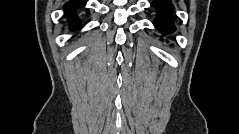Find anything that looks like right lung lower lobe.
Wrapping results in <instances>:
<instances>
[{"label":"right lung lower lobe","mask_w":239,"mask_h":134,"mask_svg":"<svg viewBox=\"0 0 239 134\" xmlns=\"http://www.w3.org/2000/svg\"><path fill=\"white\" fill-rule=\"evenodd\" d=\"M83 6H85V2L82 0H72L64 5L65 13L71 18L70 29H74L80 25L76 10Z\"/></svg>","instance_id":"right-lung-lower-lobe-1"}]
</instances>
